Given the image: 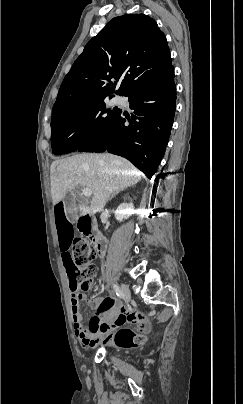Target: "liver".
<instances>
[{"label":"liver","instance_id":"liver-1","mask_svg":"<svg viewBox=\"0 0 243 404\" xmlns=\"http://www.w3.org/2000/svg\"><path fill=\"white\" fill-rule=\"evenodd\" d=\"M142 172L128 160L112 154H78L55 160L50 168L52 202L58 204L67 192L77 186L90 188L91 206L80 204L82 214H96L103 210L112 192H119L140 182Z\"/></svg>","mask_w":243,"mask_h":404}]
</instances>
